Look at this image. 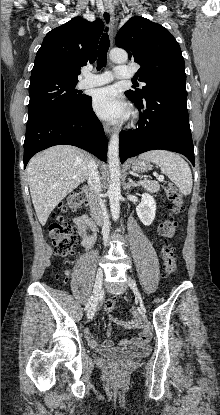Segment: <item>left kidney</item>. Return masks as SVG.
Listing matches in <instances>:
<instances>
[{"label": "left kidney", "instance_id": "obj_1", "mask_svg": "<svg viewBox=\"0 0 220 415\" xmlns=\"http://www.w3.org/2000/svg\"><path fill=\"white\" fill-rule=\"evenodd\" d=\"M136 212L144 225H151L156 213V202L154 198L148 193L142 194L141 203L136 207Z\"/></svg>", "mask_w": 220, "mask_h": 415}]
</instances>
